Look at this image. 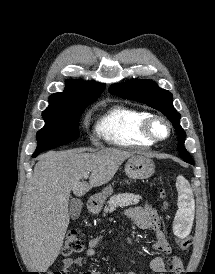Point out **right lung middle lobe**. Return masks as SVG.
<instances>
[{
    "instance_id": "obj_1",
    "label": "right lung middle lobe",
    "mask_w": 215,
    "mask_h": 274,
    "mask_svg": "<svg viewBox=\"0 0 215 274\" xmlns=\"http://www.w3.org/2000/svg\"><path fill=\"white\" fill-rule=\"evenodd\" d=\"M90 104L72 105L67 102H50L49 107L42 113L45 126L37 132L38 145L32 157H36L44 150L74 141L79 135V118Z\"/></svg>"
}]
</instances>
